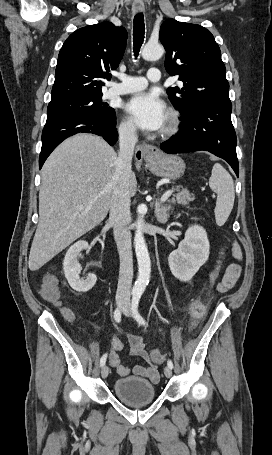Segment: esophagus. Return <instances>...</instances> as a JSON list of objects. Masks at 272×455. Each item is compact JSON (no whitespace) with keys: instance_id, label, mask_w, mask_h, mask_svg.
Masks as SVG:
<instances>
[{"instance_id":"obj_1","label":"esophagus","mask_w":272,"mask_h":455,"mask_svg":"<svg viewBox=\"0 0 272 455\" xmlns=\"http://www.w3.org/2000/svg\"><path fill=\"white\" fill-rule=\"evenodd\" d=\"M134 13H140L144 11L143 4H134L132 7ZM140 157H137L138 161L144 160L146 162L155 160L160 155V150L153 145L143 143L139 147Z\"/></svg>"}]
</instances>
